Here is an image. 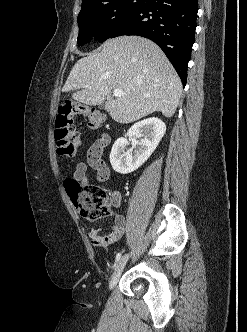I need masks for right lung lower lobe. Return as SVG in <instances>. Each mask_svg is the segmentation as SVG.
Segmentation results:
<instances>
[{"label":"right lung lower lobe","instance_id":"1","mask_svg":"<svg viewBox=\"0 0 247 332\" xmlns=\"http://www.w3.org/2000/svg\"><path fill=\"white\" fill-rule=\"evenodd\" d=\"M197 12V0H147L123 19L109 37L139 35L154 41L166 54L185 86Z\"/></svg>","mask_w":247,"mask_h":332}]
</instances>
